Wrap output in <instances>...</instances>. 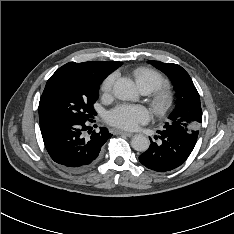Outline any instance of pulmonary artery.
Masks as SVG:
<instances>
[{"label":"pulmonary artery","instance_id":"pulmonary-artery-1","mask_svg":"<svg viewBox=\"0 0 234 234\" xmlns=\"http://www.w3.org/2000/svg\"><path fill=\"white\" fill-rule=\"evenodd\" d=\"M140 91H141V93L144 94V95L149 94V91L146 90V89H141Z\"/></svg>","mask_w":234,"mask_h":234}]
</instances>
